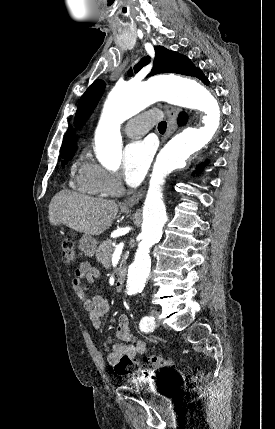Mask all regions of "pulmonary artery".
<instances>
[{"instance_id":"pulmonary-artery-1","label":"pulmonary artery","mask_w":275,"mask_h":429,"mask_svg":"<svg viewBox=\"0 0 275 429\" xmlns=\"http://www.w3.org/2000/svg\"><path fill=\"white\" fill-rule=\"evenodd\" d=\"M158 117L159 113L157 111H148L136 116L127 123L125 127L126 135L130 138L143 136L152 127Z\"/></svg>"}]
</instances>
